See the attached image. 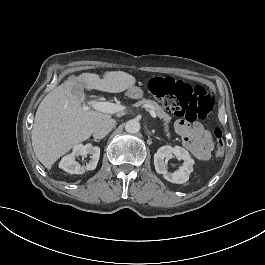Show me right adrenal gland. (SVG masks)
<instances>
[{"instance_id": "1", "label": "right adrenal gland", "mask_w": 265, "mask_h": 265, "mask_svg": "<svg viewBox=\"0 0 265 265\" xmlns=\"http://www.w3.org/2000/svg\"><path fill=\"white\" fill-rule=\"evenodd\" d=\"M94 141H95V142H100V139H99V140H97V139H94Z\"/></svg>"}]
</instances>
